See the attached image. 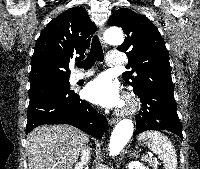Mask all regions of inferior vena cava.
Listing matches in <instances>:
<instances>
[{"instance_id": "obj_1", "label": "inferior vena cava", "mask_w": 200, "mask_h": 169, "mask_svg": "<svg viewBox=\"0 0 200 169\" xmlns=\"http://www.w3.org/2000/svg\"><path fill=\"white\" fill-rule=\"evenodd\" d=\"M90 160V148L84 146L81 149V161L79 163L80 167H84L89 163Z\"/></svg>"}]
</instances>
